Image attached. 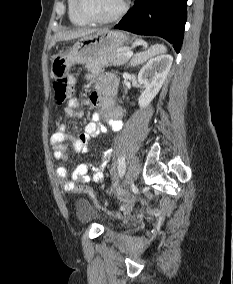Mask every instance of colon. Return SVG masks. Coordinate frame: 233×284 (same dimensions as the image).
Segmentation results:
<instances>
[{
    "label": "colon",
    "instance_id": "1",
    "mask_svg": "<svg viewBox=\"0 0 233 284\" xmlns=\"http://www.w3.org/2000/svg\"><path fill=\"white\" fill-rule=\"evenodd\" d=\"M163 52H164V46L153 45L149 47L146 51L137 54L136 57L134 58V63L141 64L150 58L162 54ZM74 87H75V79L73 76L65 75L58 78L53 85L54 99L56 104L62 105L67 100H69L74 93ZM74 191L86 195L94 203H96L100 209H104V207L100 205L96 194L89 186L86 185L78 186L74 189Z\"/></svg>",
    "mask_w": 233,
    "mask_h": 284
}]
</instances>
